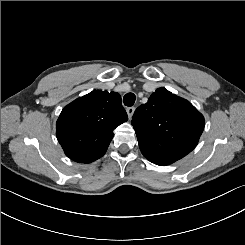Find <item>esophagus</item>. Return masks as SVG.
I'll return each mask as SVG.
<instances>
[{
	"label": "esophagus",
	"mask_w": 245,
	"mask_h": 245,
	"mask_svg": "<svg viewBox=\"0 0 245 245\" xmlns=\"http://www.w3.org/2000/svg\"><path fill=\"white\" fill-rule=\"evenodd\" d=\"M134 110H135V108H134L133 106L128 107V108L126 109L129 119L132 118V115L134 114Z\"/></svg>",
	"instance_id": "esophagus-1"
}]
</instances>
